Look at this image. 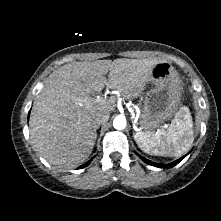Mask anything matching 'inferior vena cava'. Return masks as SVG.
<instances>
[{
  "mask_svg": "<svg viewBox=\"0 0 221 221\" xmlns=\"http://www.w3.org/2000/svg\"><path fill=\"white\" fill-rule=\"evenodd\" d=\"M108 119H109V115L104 114L102 112H97L93 115V124L96 127L100 124L105 123L106 121H108Z\"/></svg>",
  "mask_w": 221,
  "mask_h": 221,
  "instance_id": "602c4592",
  "label": "inferior vena cava"
}]
</instances>
